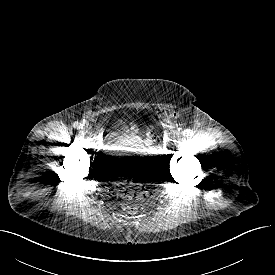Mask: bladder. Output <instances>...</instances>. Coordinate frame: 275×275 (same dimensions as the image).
<instances>
[{"mask_svg":"<svg viewBox=\"0 0 275 275\" xmlns=\"http://www.w3.org/2000/svg\"><path fill=\"white\" fill-rule=\"evenodd\" d=\"M106 165L117 176L143 178L151 173L154 158L148 150V138L140 130L120 131L117 142L108 147Z\"/></svg>","mask_w":275,"mask_h":275,"instance_id":"obj_1","label":"bladder"}]
</instances>
